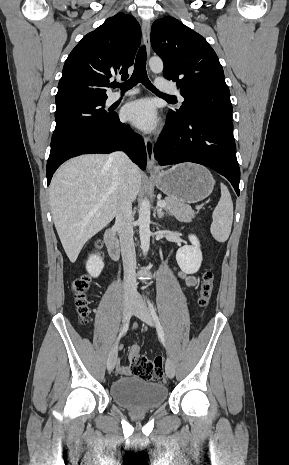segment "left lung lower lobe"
<instances>
[{"label":"left lung lower lobe","instance_id":"obj_1","mask_svg":"<svg viewBox=\"0 0 289 465\" xmlns=\"http://www.w3.org/2000/svg\"><path fill=\"white\" fill-rule=\"evenodd\" d=\"M161 138L154 146L160 165L193 162L225 176L239 195L240 169L231 119L205 114L177 118L167 114Z\"/></svg>","mask_w":289,"mask_h":465}]
</instances>
